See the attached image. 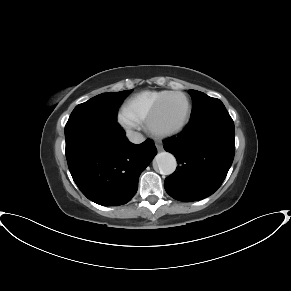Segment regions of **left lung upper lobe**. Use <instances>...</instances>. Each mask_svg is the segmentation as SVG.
I'll return each mask as SVG.
<instances>
[{"instance_id":"obj_1","label":"left lung upper lobe","mask_w":291,"mask_h":291,"mask_svg":"<svg viewBox=\"0 0 291 291\" xmlns=\"http://www.w3.org/2000/svg\"><path fill=\"white\" fill-rule=\"evenodd\" d=\"M193 100V110L191 114V121H194L210 112L224 107V104L217 98H212L203 92L196 90H189Z\"/></svg>"}]
</instances>
